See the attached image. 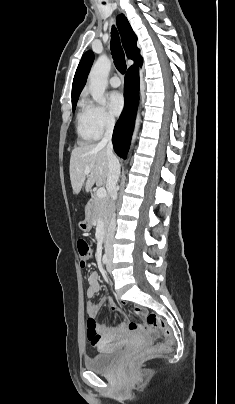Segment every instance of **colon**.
Listing matches in <instances>:
<instances>
[{"label":"colon","mask_w":235,"mask_h":404,"mask_svg":"<svg viewBox=\"0 0 235 404\" xmlns=\"http://www.w3.org/2000/svg\"><path fill=\"white\" fill-rule=\"evenodd\" d=\"M77 250L80 257V263L82 267H85L87 262L91 257V249L89 244L85 240H79L77 242ZM134 313L141 319L140 321H133L129 324L130 329L141 330L148 334H151L155 337H159V332H162L164 335V339L159 341L157 344L153 346L154 351L166 352L169 350L170 346L173 343V336L169 329V326L164 321V319L155 314L146 312L144 309L140 307L134 308ZM88 337L93 341H97V334L94 330L95 321L88 320ZM134 358L129 357L128 361H132Z\"/></svg>","instance_id":"obj_1"}]
</instances>
